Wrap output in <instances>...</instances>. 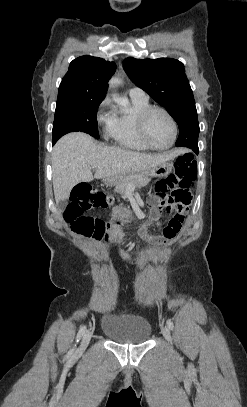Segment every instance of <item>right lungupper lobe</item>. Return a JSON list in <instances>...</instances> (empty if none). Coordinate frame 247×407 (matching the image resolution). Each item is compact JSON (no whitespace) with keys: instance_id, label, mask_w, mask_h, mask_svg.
<instances>
[{"instance_id":"obj_1","label":"right lung upper lobe","mask_w":247,"mask_h":407,"mask_svg":"<svg viewBox=\"0 0 247 407\" xmlns=\"http://www.w3.org/2000/svg\"><path fill=\"white\" fill-rule=\"evenodd\" d=\"M116 64L93 56H82L70 63L58 91L57 100L104 99L108 80L114 74Z\"/></svg>"}]
</instances>
